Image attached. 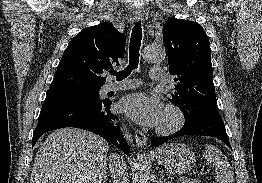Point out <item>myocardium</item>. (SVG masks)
<instances>
[{
	"mask_svg": "<svg viewBox=\"0 0 262 183\" xmlns=\"http://www.w3.org/2000/svg\"><path fill=\"white\" fill-rule=\"evenodd\" d=\"M165 113H171L173 116V122L168 126L158 125L156 132L159 135H170L180 130L185 123V115L180 107L175 104H167L164 108Z\"/></svg>",
	"mask_w": 262,
	"mask_h": 183,
	"instance_id": "f54148a6",
	"label": "myocardium"
}]
</instances>
